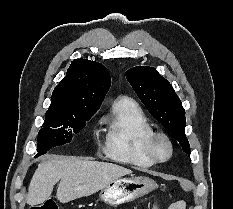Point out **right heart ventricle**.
I'll use <instances>...</instances> for the list:
<instances>
[{
	"label": "right heart ventricle",
	"mask_w": 233,
	"mask_h": 209,
	"mask_svg": "<svg viewBox=\"0 0 233 209\" xmlns=\"http://www.w3.org/2000/svg\"><path fill=\"white\" fill-rule=\"evenodd\" d=\"M103 121L108 128L104 148L107 156L142 168L156 163L148 149L153 127L133 99L117 98Z\"/></svg>",
	"instance_id": "obj_1"
}]
</instances>
